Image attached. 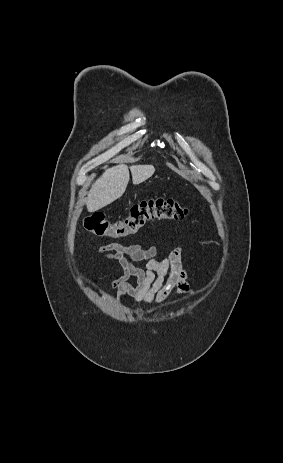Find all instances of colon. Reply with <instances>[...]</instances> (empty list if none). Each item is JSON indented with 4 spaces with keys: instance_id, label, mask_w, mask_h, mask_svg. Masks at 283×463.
<instances>
[{
    "instance_id": "1",
    "label": "colon",
    "mask_w": 283,
    "mask_h": 463,
    "mask_svg": "<svg viewBox=\"0 0 283 463\" xmlns=\"http://www.w3.org/2000/svg\"><path fill=\"white\" fill-rule=\"evenodd\" d=\"M187 209L173 199L149 197L134 204L129 215L120 220L109 221L105 216L93 214L84 221L87 231L97 236L121 239L139 232L153 220H182Z\"/></svg>"
}]
</instances>
